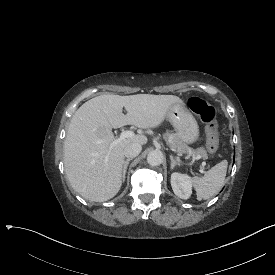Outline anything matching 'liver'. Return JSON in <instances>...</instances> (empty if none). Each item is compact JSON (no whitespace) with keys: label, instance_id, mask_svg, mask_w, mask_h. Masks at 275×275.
<instances>
[{"label":"liver","instance_id":"liver-1","mask_svg":"<svg viewBox=\"0 0 275 275\" xmlns=\"http://www.w3.org/2000/svg\"><path fill=\"white\" fill-rule=\"evenodd\" d=\"M173 103L183 104L176 96L149 94L101 95L85 102L72 116L64 143L65 172L72 188L91 201L112 198L121 186L124 147L145 144L147 139L143 135L116 139L111 129L155 126ZM115 140L119 142L110 151Z\"/></svg>","mask_w":275,"mask_h":275}]
</instances>
